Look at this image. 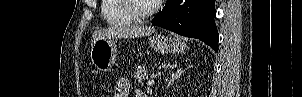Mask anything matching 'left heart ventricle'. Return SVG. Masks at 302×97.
Instances as JSON below:
<instances>
[{"instance_id": "obj_1", "label": "left heart ventricle", "mask_w": 302, "mask_h": 97, "mask_svg": "<svg viewBox=\"0 0 302 97\" xmlns=\"http://www.w3.org/2000/svg\"><path fill=\"white\" fill-rule=\"evenodd\" d=\"M150 0H133L132 5L134 9L140 13L145 12L151 5Z\"/></svg>"}]
</instances>
